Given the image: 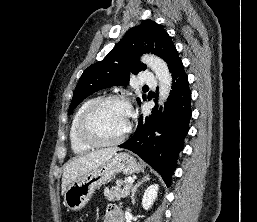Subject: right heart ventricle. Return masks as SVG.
Masks as SVG:
<instances>
[{"label":"right heart ventricle","instance_id":"obj_1","mask_svg":"<svg viewBox=\"0 0 257 222\" xmlns=\"http://www.w3.org/2000/svg\"><path fill=\"white\" fill-rule=\"evenodd\" d=\"M95 98L89 99L87 101H85L77 110V112L75 113L71 125H70V129H69V141H70V145H71V149L75 154H83L86 153L88 151H90L92 149V146L84 143L78 135V125H79V121L81 119V116L83 115V113L86 111V109L95 101Z\"/></svg>","mask_w":257,"mask_h":222}]
</instances>
